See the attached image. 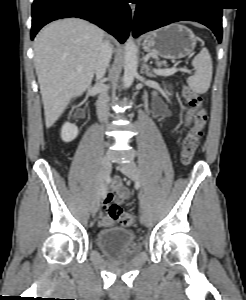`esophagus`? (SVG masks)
I'll return each mask as SVG.
<instances>
[{
    "instance_id": "34e87169",
    "label": "esophagus",
    "mask_w": 246,
    "mask_h": 300,
    "mask_svg": "<svg viewBox=\"0 0 246 300\" xmlns=\"http://www.w3.org/2000/svg\"><path fill=\"white\" fill-rule=\"evenodd\" d=\"M130 8L132 10V12L134 11L135 5L131 3Z\"/></svg>"
}]
</instances>
